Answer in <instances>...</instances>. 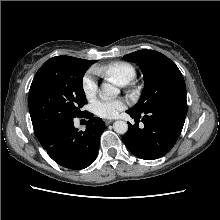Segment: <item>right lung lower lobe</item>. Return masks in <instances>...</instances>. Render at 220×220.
I'll list each match as a JSON object with an SVG mask.
<instances>
[{"label":"right lung lower lobe","mask_w":220,"mask_h":220,"mask_svg":"<svg viewBox=\"0 0 220 220\" xmlns=\"http://www.w3.org/2000/svg\"><path fill=\"white\" fill-rule=\"evenodd\" d=\"M86 116L89 121L85 131L75 128L73 119H69L37 135L42 147L59 165L80 170L96 159L105 123L101 118H93L89 112Z\"/></svg>","instance_id":"obj_1"}]
</instances>
